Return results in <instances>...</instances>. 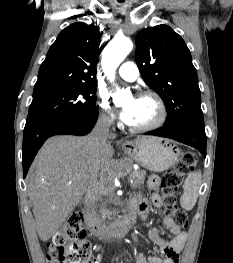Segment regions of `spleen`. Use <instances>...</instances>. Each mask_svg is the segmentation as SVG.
Wrapping results in <instances>:
<instances>
[{"mask_svg":"<svg viewBox=\"0 0 233 263\" xmlns=\"http://www.w3.org/2000/svg\"><path fill=\"white\" fill-rule=\"evenodd\" d=\"M201 178L200 171H195L187 176L183 186L184 192L180 198V204L183 209L189 211L196 204Z\"/></svg>","mask_w":233,"mask_h":263,"instance_id":"1","label":"spleen"}]
</instances>
